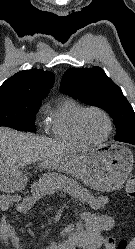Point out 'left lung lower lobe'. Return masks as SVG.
Returning a JSON list of instances; mask_svg holds the SVG:
<instances>
[{
  "label": "left lung lower lobe",
  "mask_w": 135,
  "mask_h": 249,
  "mask_svg": "<svg viewBox=\"0 0 135 249\" xmlns=\"http://www.w3.org/2000/svg\"><path fill=\"white\" fill-rule=\"evenodd\" d=\"M129 144H133V145H135V142L131 141V143H129Z\"/></svg>",
  "instance_id": "obj_1"
}]
</instances>
